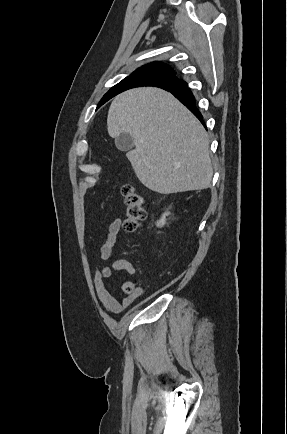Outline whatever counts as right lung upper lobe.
Returning <instances> with one entry per match:
<instances>
[{"instance_id":"cb5924a9","label":"right lung upper lobe","mask_w":287,"mask_h":434,"mask_svg":"<svg viewBox=\"0 0 287 434\" xmlns=\"http://www.w3.org/2000/svg\"><path fill=\"white\" fill-rule=\"evenodd\" d=\"M140 68L164 70V71H167V72H169L175 76V72L173 71V69L170 66H168L164 63H160V62H152V63L146 64ZM176 81H179V79L176 78V76H175V78L172 80L162 82V83L152 84L150 86L163 87V86H166V85L171 84V83L176 82Z\"/></svg>"}]
</instances>
